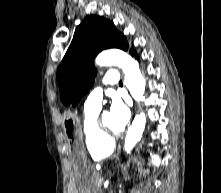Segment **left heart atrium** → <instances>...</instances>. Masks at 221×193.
<instances>
[{"mask_svg":"<svg viewBox=\"0 0 221 193\" xmlns=\"http://www.w3.org/2000/svg\"><path fill=\"white\" fill-rule=\"evenodd\" d=\"M110 114L118 132L126 127L131 116L128 104L118 97L112 100Z\"/></svg>","mask_w":221,"mask_h":193,"instance_id":"1","label":"left heart atrium"}]
</instances>
